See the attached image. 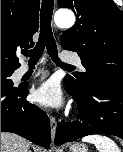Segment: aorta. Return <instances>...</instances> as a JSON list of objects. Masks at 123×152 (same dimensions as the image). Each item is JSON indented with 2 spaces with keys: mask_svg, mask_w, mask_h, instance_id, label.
<instances>
[{
  "mask_svg": "<svg viewBox=\"0 0 123 152\" xmlns=\"http://www.w3.org/2000/svg\"><path fill=\"white\" fill-rule=\"evenodd\" d=\"M54 20L59 28H70L75 23V15L72 11L60 10L56 12Z\"/></svg>",
  "mask_w": 123,
  "mask_h": 152,
  "instance_id": "obj_1",
  "label": "aorta"
}]
</instances>
